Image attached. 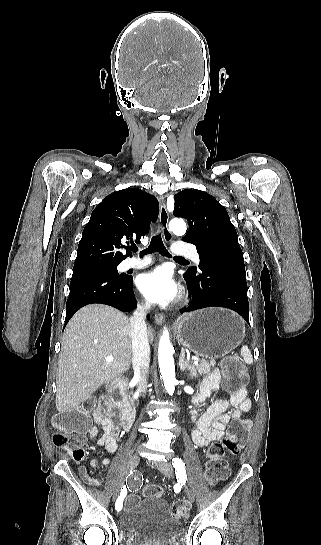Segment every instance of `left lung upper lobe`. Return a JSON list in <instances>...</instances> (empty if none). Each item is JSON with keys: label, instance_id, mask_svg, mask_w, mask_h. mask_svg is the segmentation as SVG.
<instances>
[{"label": "left lung upper lobe", "instance_id": "obj_1", "mask_svg": "<svg viewBox=\"0 0 321 545\" xmlns=\"http://www.w3.org/2000/svg\"><path fill=\"white\" fill-rule=\"evenodd\" d=\"M174 198V216L186 218L189 223L183 241L196 245L197 250L226 240L238 242L226 209L213 196L200 190H183ZM195 270L189 268L186 273Z\"/></svg>", "mask_w": 321, "mask_h": 545}]
</instances>
